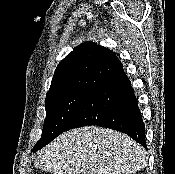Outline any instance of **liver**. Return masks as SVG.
I'll use <instances>...</instances> for the list:
<instances>
[{
    "label": "liver",
    "mask_w": 175,
    "mask_h": 174,
    "mask_svg": "<svg viewBox=\"0 0 175 174\" xmlns=\"http://www.w3.org/2000/svg\"><path fill=\"white\" fill-rule=\"evenodd\" d=\"M146 154L126 134L86 126L64 132L41 149L34 166L53 174H134L146 166Z\"/></svg>",
    "instance_id": "1"
}]
</instances>
